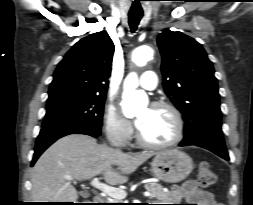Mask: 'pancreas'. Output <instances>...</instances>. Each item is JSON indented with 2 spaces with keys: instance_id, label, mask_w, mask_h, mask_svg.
<instances>
[{
  "instance_id": "1",
  "label": "pancreas",
  "mask_w": 253,
  "mask_h": 205,
  "mask_svg": "<svg viewBox=\"0 0 253 205\" xmlns=\"http://www.w3.org/2000/svg\"><path fill=\"white\" fill-rule=\"evenodd\" d=\"M145 189L151 193L150 198H154L157 201H167L170 197V194L163 191V187L160 184L149 183L145 185ZM108 203H122L118 199H113Z\"/></svg>"
}]
</instances>
